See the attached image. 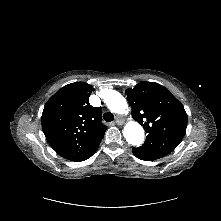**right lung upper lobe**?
<instances>
[{"label": "right lung upper lobe", "mask_w": 221, "mask_h": 221, "mask_svg": "<svg viewBox=\"0 0 221 221\" xmlns=\"http://www.w3.org/2000/svg\"><path fill=\"white\" fill-rule=\"evenodd\" d=\"M93 86L75 82L62 87L45 104L42 128L51 147L63 158L78 161L104 137L102 110L89 104Z\"/></svg>", "instance_id": "right-lung-upper-lobe-1"}]
</instances>
